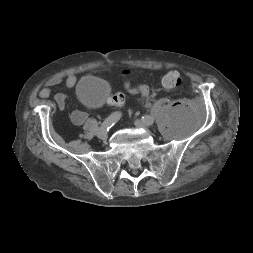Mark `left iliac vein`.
Returning a JSON list of instances; mask_svg holds the SVG:
<instances>
[{
  "mask_svg": "<svg viewBox=\"0 0 253 253\" xmlns=\"http://www.w3.org/2000/svg\"><path fill=\"white\" fill-rule=\"evenodd\" d=\"M151 120H153V122H154V119L152 117H151ZM134 125L137 128H147L149 126L141 120H135Z\"/></svg>",
  "mask_w": 253,
  "mask_h": 253,
  "instance_id": "1",
  "label": "left iliac vein"
}]
</instances>
